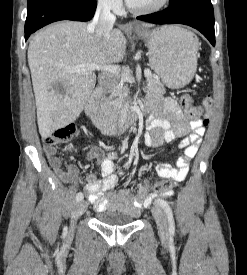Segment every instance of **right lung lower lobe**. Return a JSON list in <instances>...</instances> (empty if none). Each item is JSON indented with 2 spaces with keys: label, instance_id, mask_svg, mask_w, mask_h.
Masks as SVG:
<instances>
[{
  "label": "right lung lower lobe",
  "instance_id": "1",
  "mask_svg": "<svg viewBox=\"0 0 247 275\" xmlns=\"http://www.w3.org/2000/svg\"><path fill=\"white\" fill-rule=\"evenodd\" d=\"M95 0H35L28 3L25 40L43 26L59 20L89 21Z\"/></svg>",
  "mask_w": 247,
  "mask_h": 275
}]
</instances>
